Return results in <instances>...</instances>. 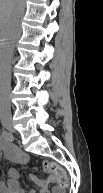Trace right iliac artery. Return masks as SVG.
I'll return each instance as SVG.
<instances>
[{"instance_id": "82829eb1", "label": "right iliac artery", "mask_w": 103, "mask_h": 193, "mask_svg": "<svg viewBox=\"0 0 103 193\" xmlns=\"http://www.w3.org/2000/svg\"><path fill=\"white\" fill-rule=\"evenodd\" d=\"M2 136H3V138H5L8 141H12L14 139L13 135L10 132L6 131V130H4L2 132Z\"/></svg>"}]
</instances>
